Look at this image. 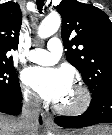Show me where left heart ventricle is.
<instances>
[{"mask_svg":"<svg viewBox=\"0 0 112 135\" xmlns=\"http://www.w3.org/2000/svg\"><path fill=\"white\" fill-rule=\"evenodd\" d=\"M81 102V95L72 88L69 94L59 102L60 105L65 107H74L77 106Z\"/></svg>","mask_w":112,"mask_h":135,"instance_id":"left-heart-ventricle-1","label":"left heart ventricle"}]
</instances>
